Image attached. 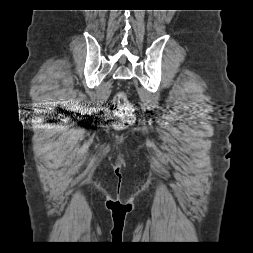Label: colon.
Instances as JSON below:
<instances>
[{
  "label": "colon",
  "instance_id": "obj_1",
  "mask_svg": "<svg viewBox=\"0 0 253 253\" xmlns=\"http://www.w3.org/2000/svg\"><path fill=\"white\" fill-rule=\"evenodd\" d=\"M112 104L115 115L114 127L118 130L128 127L134 121V108L125 92H117Z\"/></svg>",
  "mask_w": 253,
  "mask_h": 253
}]
</instances>
